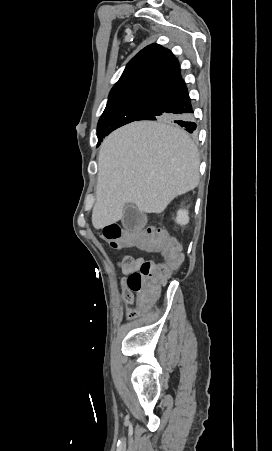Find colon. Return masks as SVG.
<instances>
[{"instance_id":"obj_1","label":"colon","mask_w":272,"mask_h":451,"mask_svg":"<svg viewBox=\"0 0 272 451\" xmlns=\"http://www.w3.org/2000/svg\"><path fill=\"white\" fill-rule=\"evenodd\" d=\"M100 238L108 242L110 247L118 250L148 249V256H163L165 262L161 265L156 261L144 258H134L125 254L122 261L117 259L115 264L131 271L127 280V289H137L136 303H155L163 283L168 282L172 270L178 266V260L184 258L180 244L167 235L161 228L155 230H126L116 222L104 225L100 230ZM129 316L134 318L135 311Z\"/></svg>"}]
</instances>
